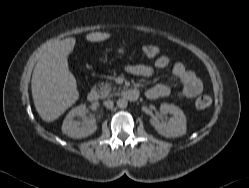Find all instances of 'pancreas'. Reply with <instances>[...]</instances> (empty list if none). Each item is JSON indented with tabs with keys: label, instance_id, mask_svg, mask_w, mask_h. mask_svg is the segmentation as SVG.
I'll list each match as a JSON object with an SVG mask.
<instances>
[{
	"label": "pancreas",
	"instance_id": "cf45deb5",
	"mask_svg": "<svg viewBox=\"0 0 249 188\" xmlns=\"http://www.w3.org/2000/svg\"><path fill=\"white\" fill-rule=\"evenodd\" d=\"M99 93L101 95V98H106V97H109L111 96V91H112V85L111 84H108V83H102L99 85Z\"/></svg>",
	"mask_w": 249,
	"mask_h": 188
}]
</instances>
